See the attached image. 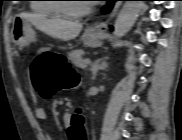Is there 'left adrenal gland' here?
Returning a JSON list of instances; mask_svg holds the SVG:
<instances>
[{"mask_svg": "<svg viewBox=\"0 0 182 140\" xmlns=\"http://www.w3.org/2000/svg\"><path fill=\"white\" fill-rule=\"evenodd\" d=\"M107 59V58H105ZM108 67V64L106 60L104 59H98L94 63L91 64L90 71L92 73V79L94 80L96 78L97 72L99 70H104Z\"/></svg>", "mask_w": 182, "mask_h": 140, "instance_id": "obj_1", "label": "left adrenal gland"}]
</instances>
